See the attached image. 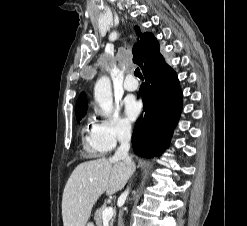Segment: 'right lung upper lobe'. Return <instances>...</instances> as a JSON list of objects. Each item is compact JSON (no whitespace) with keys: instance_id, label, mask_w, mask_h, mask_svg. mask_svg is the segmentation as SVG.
Returning <instances> with one entry per match:
<instances>
[{"instance_id":"right-lung-upper-lobe-1","label":"right lung upper lobe","mask_w":247,"mask_h":226,"mask_svg":"<svg viewBox=\"0 0 247 226\" xmlns=\"http://www.w3.org/2000/svg\"><path fill=\"white\" fill-rule=\"evenodd\" d=\"M136 33L139 34L140 40L134 45L132 49L133 61L141 67L143 70L147 63V55L150 50L159 47V43L152 33H141L140 29L135 27ZM87 110V99L85 93L82 92L77 100L76 104V117L83 115Z\"/></svg>"}]
</instances>
